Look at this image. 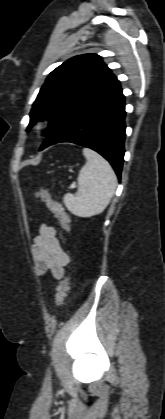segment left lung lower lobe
Instances as JSON below:
<instances>
[{
  "mask_svg": "<svg viewBox=\"0 0 165 419\" xmlns=\"http://www.w3.org/2000/svg\"><path fill=\"white\" fill-rule=\"evenodd\" d=\"M125 103L120 83L115 79L104 90L81 103L64 122L44 140L40 150L60 142L91 148L106 158L121 177Z\"/></svg>",
  "mask_w": 165,
  "mask_h": 419,
  "instance_id": "left-lung-lower-lobe-1",
  "label": "left lung lower lobe"
}]
</instances>
